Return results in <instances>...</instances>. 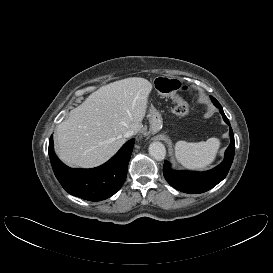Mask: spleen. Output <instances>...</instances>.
Segmentation results:
<instances>
[{
	"mask_svg": "<svg viewBox=\"0 0 273 273\" xmlns=\"http://www.w3.org/2000/svg\"><path fill=\"white\" fill-rule=\"evenodd\" d=\"M219 147L220 141L217 138L197 143L178 141L175 145V156L186 168L205 169L215 160Z\"/></svg>",
	"mask_w": 273,
	"mask_h": 273,
	"instance_id": "3e777b00",
	"label": "spleen"
}]
</instances>
